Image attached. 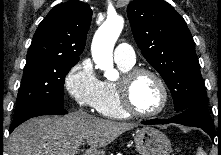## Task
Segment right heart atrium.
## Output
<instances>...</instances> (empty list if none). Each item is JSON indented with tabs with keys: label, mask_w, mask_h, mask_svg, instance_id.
I'll use <instances>...</instances> for the list:
<instances>
[{
	"label": "right heart atrium",
	"mask_w": 221,
	"mask_h": 155,
	"mask_svg": "<svg viewBox=\"0 0 221 155\" xmlns=\"http://www.w3.org/2000/svg\"><path fill=\"white\" fill-rule=\"evenodd\" d=\"M101 80L90 59L75 64L64 78V87L77 105L83 108L96 107L100 95Z\"/></svg>",
	"instance_id": "1"
}]
</instances>
